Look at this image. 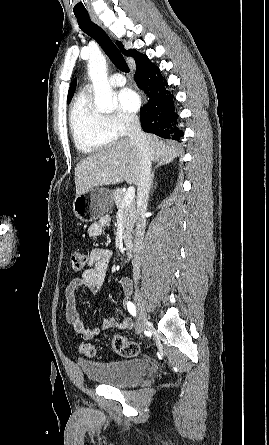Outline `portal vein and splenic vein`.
Here are the masks:
<instances>
[{"label":"portal vein and splenic vein","instance_id":"obj_1","mask_svg":"<svg viewBox=\"0 0 269 445\" xmlns=\"http://www.w3.org/2000/svg\"><path fill=\"white\" fill-rule=\"evenodd\" d=\"M134 197H135V188L133 186H130L124 196L123 205L130 204L134 200Z\"/></svg>","mask_w":269,"mask_h":445}]
</instances>
